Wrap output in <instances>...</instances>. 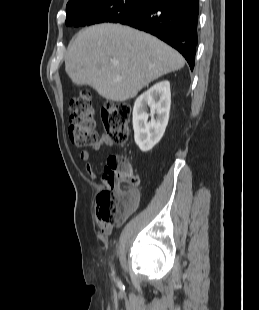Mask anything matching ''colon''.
<instances>
[{
    "label": "colon",
    "instance_id": "colon-1",
    "mask_svg": "<svg viewBox=\"0 0 259 310\" xmlns=\"http://www.w3.org/2000/svg\"><path fill=\"white\" fill-rule=\"evenodd\" d=\"M69 137L79 147H95L98 135L95 130V110L92 96L80 92L69 103ZM131 108L125 103H107L102 107V120L107 136L117 143L126 141ZM105 188L96 199V214L104 225L122 224L137 206L139 195L136 186L139 179L133 174L128 159L111 155L101 177Z\"/></svg>",
    "mask_w": 259,
    "mask_h": 310
}]
</instances>
